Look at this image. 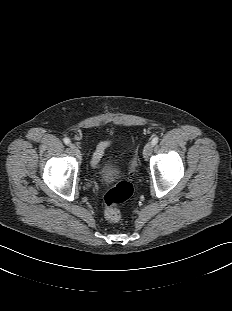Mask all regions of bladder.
<instances>
[{
  "instance_id": "31cf9c89",
  "label": "bladder",
  "mask_w": 232,
  "mask_h": 311,
  "mask_svg": "<svg viewBox=\"0 0 232 311\" xmlns=\"http://www.w3.org/2000/svg\"><path fill=\"white\" fill-rule=\"evenodd\" d=\"M117 173V166L113 162H108L102 170L101 177L104 182L110 183L115 179Z\"/></svg>"
}]
</instances>
